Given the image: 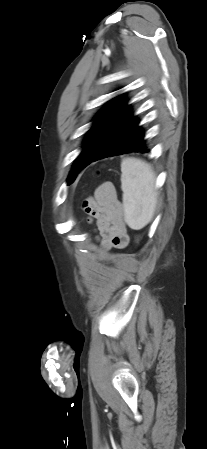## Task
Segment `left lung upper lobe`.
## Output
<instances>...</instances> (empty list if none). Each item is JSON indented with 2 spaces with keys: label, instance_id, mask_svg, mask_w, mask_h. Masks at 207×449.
Wrapping results in <instances>:
<instances>
[{
  "label": "left lung upper lobe",
  "instance_id": "obj_1",
  "mask_svg": "<svg viewBox=\"0 0 207 449\" xmlns=\"http://www.w3.org/2000/svg\"><path fill=\"white\" fill-rule=\"evenodd\" d=\"M114 99L116 101L105 107L97 115L95 123L85 139L83 151L73 164L68 177V184L72 183L77 174L91 163L113 129L130 114L131 108L125 105V100L120 98V96Z\"/></svg>",
  "mask_w": 207,
  "mask_h": 449
}]
</instances>
